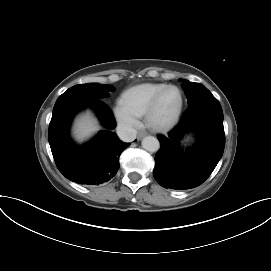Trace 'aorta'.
<instances>
[{
  "label": "aorta",
  "instance_id": "762f6f07",
  "mask_svg": "<svg viewBox=\"0 0 271 271\" xmlns=\"http://www.w3.org/2000/svg\"><path fill=\"white\" fill-rule=\"evenodd\" d=\"M142 147L149 152H156L160 148V143L156 137L147 136L142 140Z\"/></svg>",
  "mask_w": 271,
  "mask_h": 271
}]
</instances>
